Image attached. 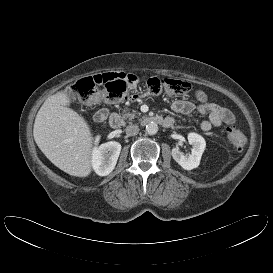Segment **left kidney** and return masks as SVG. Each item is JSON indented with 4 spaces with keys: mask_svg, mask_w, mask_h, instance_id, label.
I'll use <instances>...</instances> for the list:
<instances>
[{
    "mask_svg": "<svg viewBox=\"0 0 273 273\" xmlns=\"http://www.w3.org/2000/svg\"><path fill=\"white\" fill-rule=\"evenodd\" d=\"M188 142L192 145L191 154L188 157L177 147L172 149V157L183 169L192 170L199 166L201 156L206 147V142L205 139L197 133H189Z\"/></svg>",
    "mask_w": 273,
    "mask_h": 273,
    "instance_id": "1",
    "label": "left kidney"
}]
</instances>
